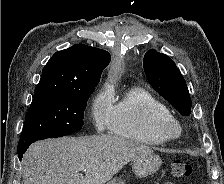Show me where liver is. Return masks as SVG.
I'll list each match as a JSON object with an SVG mask.
<instances>
[{
	"label": "liver",
	"mask_w": 224,
	"mask_h": 184,
	"mask_svg": "<svg viewBox=\"0 0 224 184\" xmlns=\"http://www.w3.org/2000/svg\"><path fill=\"white\" fill-rule=\"evenodd\" d=\"M114 135L62 137L32 144L23 156L24 184H104L128 162L152 154ZM85 167V176L80 167Z\"/></svg>",
	"instance_id": "1"
}]
</instances>
